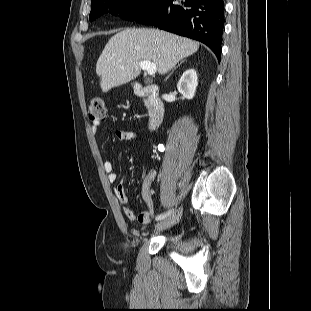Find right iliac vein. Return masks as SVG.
Masks as SVG:
<instances>
[{"label": "right iliac vein", "instance_id": "obj_1", "mask_svg": "<svg viewBox=\"0 0 311 311\" xmlns=\"http://www.w3.org/2000/svg\"><path fill=\"white\" fill-rule=\"evenodd\" d=\"M181 216H182V208H179L175 213H173L172 216L158 222L155 225V228L157 230H163L168 227H171L173 224H175L176 222L180 220Z\"/></svg>", "mask_w": 311, "mask_h": 311}]
</instances>
